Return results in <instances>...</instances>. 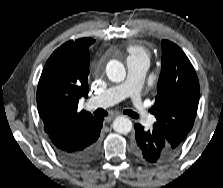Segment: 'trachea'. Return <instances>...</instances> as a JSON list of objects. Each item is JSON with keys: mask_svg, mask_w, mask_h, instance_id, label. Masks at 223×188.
<instances>
[{"mask_svg": "<svg viewBox=\"0 0 223 188\" xmlns=\"http://www.w3.org/2000/svg\"><path fill=\"white\" fill-rule=\"evenodd\" d=\"M124 113L129 115L130 117H132L134 119L138 118V115L135 112H133L132 110H125ZM107 114H108L107 111H105L103 109H97L94 112V115L97 116V117H105V116H107Z\"/></svg>", "mask_w": 223, "mask_h": 188, "instance_id": "1", "label": "trachea"}]
</instances>
